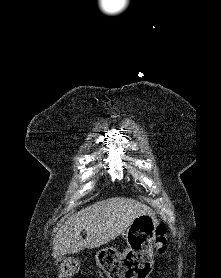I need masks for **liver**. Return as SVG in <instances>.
Wrapping results in <instances>:
<instances>
[{"label": "liver", "mask_w": 221, "mask_h": 278, "mask_svg": "<svg viewBox=\"0 0 221 278\" xmlns=\"http://www.w3.org/2000/svg\"><path fill=\"white\" fill-rule=\"evenodd\" d=\"M143 214H154L151 208L134 199L112 197L98 201L70 216L57 232L53 256L98 248L123 234L133 220ZM86 231L83 239L81 232Z\"/></svg>", "instance_id": "liver-1"}]
</instances>
